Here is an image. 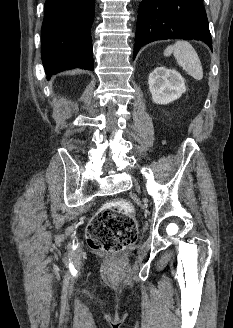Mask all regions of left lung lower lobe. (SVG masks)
<instances>
[{
	"label": "left lung lower lobe",
	"mask_w": 233,
	"mask_h": 328,
	"mask_svg": "<svg viewBox=\"0 0 233 328\" xmlns=\"http://www.w3.org/2000/svg\"><path fill=\"white\" fill-rule=\"evenodd\" d=\"M165 39H212L202 0H143L139 9L133 58L145 44Z\"/></svg>",
	"instance_id": "1"
}]
</instances>
